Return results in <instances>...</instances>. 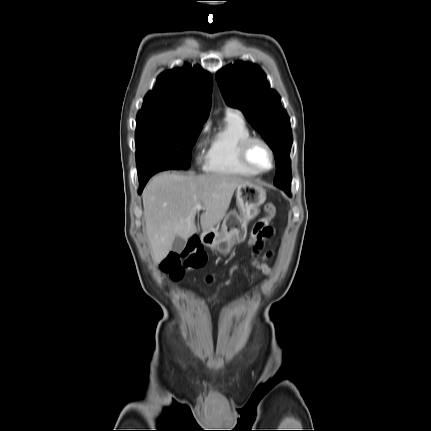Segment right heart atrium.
Returning <instances> with one entry per match:
<instances>
[{"label":"right heart atrium","mask_w":431,"mask_h":431,"mask_svg":"<svg viewBox=\"0 0 431 431\" xmlns=\"http://www.w3.org/2000/svg\"><path fill=\"white\" fill-rule=\"evenodd\" d=\"M206 131H207V125L204 124L201 126V128L197 132L195 139L193 141V149L197 152L196 161L198 163H200L204 159V156L201 153V150L205 145L204 136L206 134Z\"/></svg>","instance_id":"obj_1"}]
</instances>
